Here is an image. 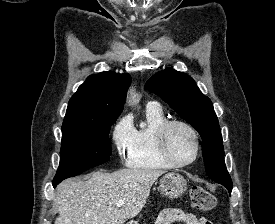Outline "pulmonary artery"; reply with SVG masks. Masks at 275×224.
I'll return each mask as SVG.
<instances>
[{"mask_svg": "<svg viewBox=\"0 0 275 224\" xmlns=\"http://www.w3.org/2000/svg\"><path fill=\"white\" fill-rule=\"evenodd\" d=\"M147 106L148 107H160V105L155 101L148 102Z\"/></svg>", "mask_w": 275, "mask_h": 224, "instance_id": "pulmonary-artery-1", "label": "pulmonary artery"}]
</instances>
